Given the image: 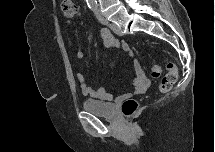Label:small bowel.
<instances>
[{"mask_svg":"<svg viewBox=\"0 0 215 152\" xmlns=\"http://www.w3.org/2000/svg\"><path fill=\"white\" fill-rule=\"evenodd\" d=\"M100 37L102 39L103 45L106 48L116 47L120 48L122 51L126 52L130 56H132L133 52L127 43V41L122 40L119 42L107 29L103 28L99 32ZM76 57L78 60H83L85 58V52L82 49L77 50ZM131 66L134 69L135 75L132 79V90L127 94V96H133L143 93L150 85L149 80L145 77L142 68L137 60L131 61ZM78 81L80 83V87L82 93L84 95L91 96L98 100H105L110 97V95L106 92V90L102 87L93 88L89 85L84 75L78 74Z\"/></svg>","mask_w":215,"mask_h":152,"instance_id":"small-bowel-1","label":"small bowel"}]
</instances>
